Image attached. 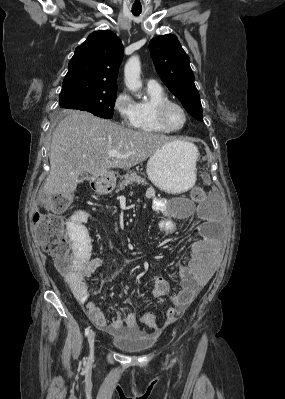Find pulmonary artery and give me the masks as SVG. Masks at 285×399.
<instances>
[{"label":"pulmonary artery","instance_id":"pulmonary-artery-1","mask_svg":"<svg viewBox=\"0 0 285 399\" xmlns=\"http://www.w3.org/2000/svg\"><path fill=\"white\" fill-rule=\"evenodd\" d=\"M148 87H160V82L156 79L150 78L147 80Z\"/></svg>","mask_w":285,"mask_h":399}]
</instances>
